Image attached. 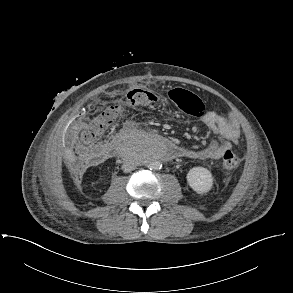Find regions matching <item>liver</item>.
Instances as JSON below:
<instances>
[{"mask_svg":"<svg viewBox=\"0 0 293 293\" xmlns=\"http://www.w3.org/2000/svg\"><path fill=\"white\" fill-rule=\"evenodd\" d=\"M64 158L69 163H74L76 161V157H75L73 151L70 148H65V150H64Z\"/></svg>","mask_w":293,"mask_h":293,"instance_id":"obj_1","label":"liver"}]
</instances>
